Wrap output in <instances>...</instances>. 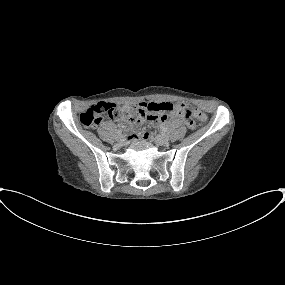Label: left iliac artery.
<instances>
[{"instance_id": "44dca946", "label": "left iliac artery", "mask_w": 285, "mask_h": 285, "mask_svg": "<svg viewBox=\"0 0 285 285\" xmlns=\"http://www.w3.org/2000/svg\"><path fill=\"white\" fill-rule=\"evenodd\" d=\"M162 132H163V133H166V132H167V128L163 127V128H162Z\"/></svg>"}]
</instances>
